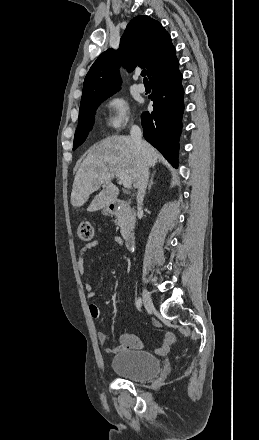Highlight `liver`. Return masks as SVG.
Here are the masks:
<instances>
[{
	"label": "liver",
	"mask_w": 259,
	"mask_h": 440,
	"mask_svg": "<svg viewBox=\"0 0 259 440\" xmlns=\"http://www.w3.org/2000/svg\"><path fill=\"white\" fill-rule=\"evenodd\" d=\"M144 151L140 152L127 136H111L93 147L81 163L73 183L71 204L80 207L90 194L102 186V191L94 198L88 210L90 212L106 208L114 202L119 189L112 183L116 174L124 172L131 176L132 183L138 188L141 165L154 167L159 159L158 151L143 141Z\"/></svg>",
	"instance_id": "obj_1"
}]
</instances>
